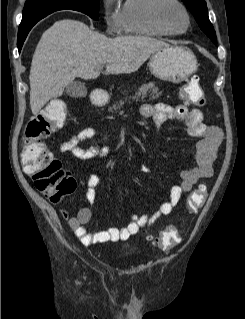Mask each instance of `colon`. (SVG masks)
I'll list each match as a JSON object with an SVG mask.
<instances>
[{
	"label": "colon",
	"instance_id": "5ec220e1",
	"mask_svg": "<svg viewBox=\"0 0 245 319\" xmlns=\"http://www.w3.org/2000/svg\"><path fill=\"white\" fill-rule=\"evenodd\" d=\"M182 93L188 104L204 106L206 103L205 93L197 76L191 77L183 85ZM67 115V105L61 101H53L28 122L21 145L24 171L31 176L36 188L53 202L71 194L75 189V181L65 173L60 161L45 147L43 140L64 126ZM206 197L207 187L202 183L189 195L188 208H200ZM149 238L158 248L167 250L176 245L178 232L176 228L170 227Z\"/></svg>",
	"mask_w": 245,
	"mask_h": 319
}]
</instances>
